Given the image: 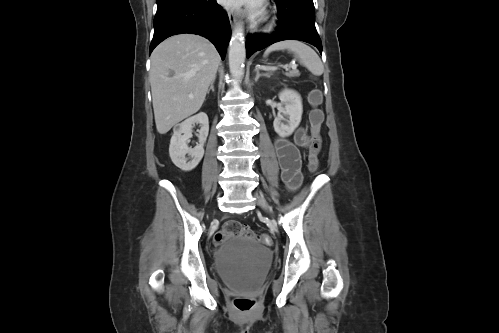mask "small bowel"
Listing matches in <instances>:
<instances>
[{
  "mask_svg": "<svg viewBox=\"0 0 499 333\" xmlns=\"http://www.w3.org/2000/svg\"><path fill=\"white\" fill-rule=\"evenodd\" d=\"M311 137L304 127H299L293 134V140L277 137L274 143L281 167L282 179L291 190H296L302 181L300 148H309Z\"/></svg>",
  "mask_w": 499,
  "mask_h": 333,
  "instance_id": "small-bowel-1",
  "label": "small bowel"
}]
</instances>
